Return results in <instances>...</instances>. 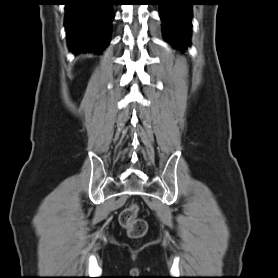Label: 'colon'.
I'll list each match as a JSON object with an SVG mask.
<instances>
[{"mask_svg": "<svg viewBox=\"0 0 278 278\" xmlns=\"http://www.w3.org/2000/svg\"><path fill=\"white\" fill-rule=\"evenodd\" d=\"M139 206L135 203L130 204L120 214L121 225L132 237H142L147 232V223L138 217Z\"/></svg>", "mask_w": 278, "mask_h": 278, "instance_id": "1", "label": "colon"}]
</instances>
